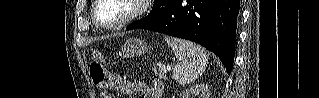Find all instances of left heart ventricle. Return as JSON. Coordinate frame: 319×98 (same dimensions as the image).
<instances>
[{"instance_id": "obj_1", "label": "left heart ventricle", "mask_w": 319, "mask_h": 98, "mask_svg": "<svg viewBox=\"0 0 319 98\" xmlns=\"http://www.w3.org/2000/svg\"><path fill=\"white\" fill-rule=\"evenodd\" d=\"M133 8L130 0H104L98 7L97 17L102 24H111L129 15Z\"/></svg>"}]
</instances>
